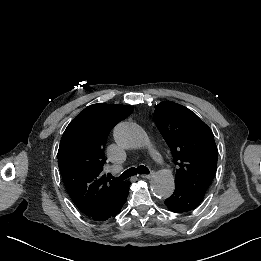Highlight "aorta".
I'll list each match as a JSON object with an SVG mask.
<instances>
[{"label":"aorta","mask_w":261,"mask_h":261,"mask_svg":"<svg viewBox=\"0 0 261 261\" xmlns=\"http://www.w3.org/2000/svg\"><path fill=\"white\" fill-rule=\"evenodd\" d=\"M115 142L126 149H137L149 144L146 132L137 124L121 122L114 128ZM175 188L174 176L170 170L157 171L151 180L153 194L161 199L169 198Z\"/></svg>","instance_id":"obj_1"}]
</instances>
